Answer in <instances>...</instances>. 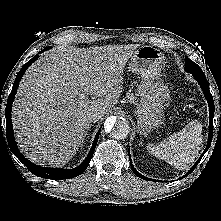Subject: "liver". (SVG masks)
I'll return each mask as SVG.
<instances>
[{
  "label": "liver",
  "mask_w": 221,
  "mask_h": 221,
  "mask_svg": "<svg viewBox=\"0 0 221 221\" xmlns=\"http://www.w3.org/2000/svg\"><path fill=\"white\" fill-rule=\"evenodd\" d=\"M138 47L62 46L32 64L12 108L16 141L26 158L43 166L65 165L82 143L89 115L105 114L117 104L124 67Z\"/></svg>",
  "instance_id": "obj_1"
}]
</instances>
